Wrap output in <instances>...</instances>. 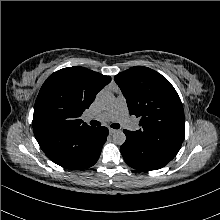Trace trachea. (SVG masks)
I'll return each mask as SVG.
<instances>
[{
  "label": "trachea",
  "mask_w": 220,
  "mask_h": 220,
  "mask_svg": "<svg viewBox=\"0 0 220 220\" xmlns=\"http://www.w3.org/2000/svg\"><path fill=\"white\" fill-rule=\"evenodd\" d=\"M90 125H92V126H100L101 123L98 122V121L92 120V121H90ZM111 127L114 128V129H119V128H120V125H119L118 123H113V124L111 125Z\"/></svg>",
  "instance_id": "3493384b"
}]
</instances>
